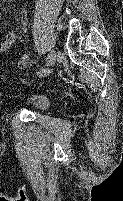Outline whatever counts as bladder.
<instances>
[{"instance_id": "bladder-1", "label": "bladder", "mask_w": 123, "mask_h": 201, "mask_svg": "<svg viewBox=\"0 0 123 201\" xmlns=\"http://www.w3.org/2000/svg\"><path fill=\"white\" fill-rule=\"evenodd\" d=\"M24 106L33 109L35 111H46L51 106L50 96L41 91H34L27 94L23 99Z\"/></svg>"}]
</instances>
